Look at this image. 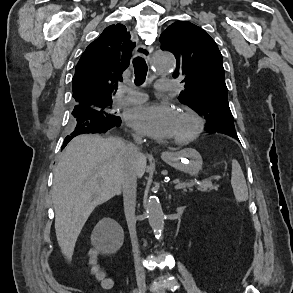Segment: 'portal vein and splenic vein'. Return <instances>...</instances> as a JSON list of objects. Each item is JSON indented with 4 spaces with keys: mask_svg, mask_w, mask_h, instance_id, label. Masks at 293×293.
Returning <instances> with one entry per match:
<instances>
[{
    "mask_svg": "<svg viewBox=\"0 0 293 293\" xmlns=\"http://www.w3.org/2000/svg\"><path fill=\"white\" fill-rule=\"evenodd\" d=\"M188 186H190V183L181 182V183H177L174 188L176 190H180V189L186 188Z\"/></svg>",
    "mask_w": 293,
    "mask_h": 293,
    "instance_id": "obj_1",
    "label": "portal vein and splenic vein"
}]
</instances>
